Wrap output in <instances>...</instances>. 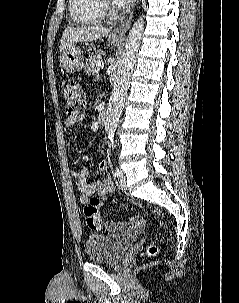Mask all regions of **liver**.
Segmentation results:
<instances>
[{"label":"liver","mask_w":239,"mask_h":303,"mask_svg":"<svg viewBox=\"0 0 239 303\" xmlns=\"http://www.w3.org/2000/svg\"><path fill=\"white\" fill-rule=\"evenodd\" d=\"M109 30L105 27L82 26L66 28L62 34L60 52L68 49L77 42H90L107 36Z\"/></svg>","instance_id":"1"}]
</instances>
